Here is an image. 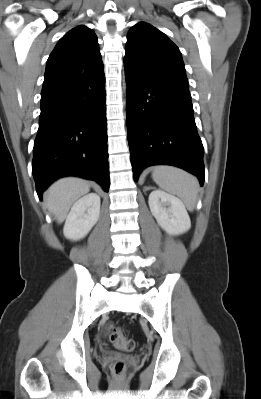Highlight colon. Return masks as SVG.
Listing matches in <instances>:
<instances>
[{
    "label": "colon",
    "instance_id": "obj_1",
    "mask_svg": "<svg viewBox=\"0 0 261 399\" xmlns=\"http://www.w3.org/2000/svg\"><path fill=\"white\" fill-rule=\"evenodd\" d=\"M109 338L111 343L124 351H133L137 343L133 339H129L125 336L122 328L114 325L109 326ZM126 370V365L123 361H118L113 366V372L116 375H122Z\"/></svg>",
    "mask_w": 261,
    "mask_h": 399
}]
</instances>
